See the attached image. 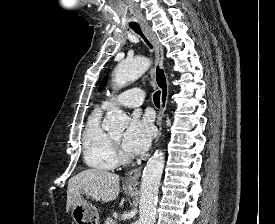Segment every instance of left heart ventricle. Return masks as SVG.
<instances>
[{"label":"left heart ventricle","mask_w":275,"mask_h":224,"mask_svg":"<svg viewBox=\"0 0 275 224\" xmlns=\"http://www.w3.org/2000/svg\"><path fill=\"white\" fill-rule=\"evenodd\" d=\"M111 136H112L115 140L120 141V139H121V137H122V132L120 131V132H117V133H113V134H111Z\"/></svg>","instance_id":"obj_1"}]
</instances>
